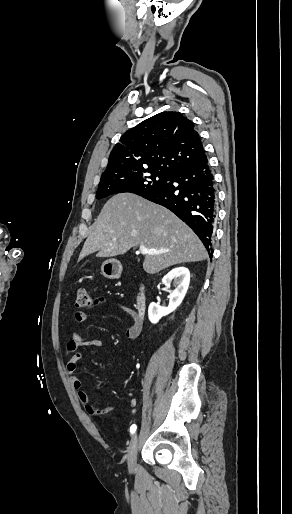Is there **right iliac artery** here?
Returning <instances> with one entry per match:
<instances>
[{
  "mask_svg": "<svg viewBox=\"0 0 292 514\" xmlns=\"http://www.w3.org/2000/svg\"><path fill=\"white\" fill-rule=\"evenodd\" d=\"M136 429H137V426H136L135 424H133V425L130 427V433H131V435L135 433Z\"/></svg>",
  "mask_w": 292,
  "mask_h": 514,
  "instance_id": "1",
  "label": "right iliac artery"
}]
</instances>
